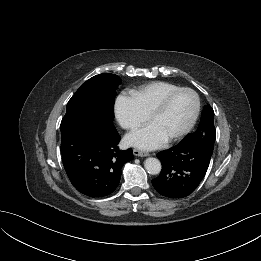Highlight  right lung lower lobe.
<instances>
[{
    "label": "right lung lower lobe",
    "mask_w": 261,
    "mask_h": 261,
    "mask_svg": "<svg viewBox=\"0 0 261 261\" xmlns=\"http://www.w3.org/2000/svg\"><path fill=\"white\" fill-rule=\"evenodd\" d=\"M113 123H93L62 133L61 154L72 185L89 197H105L120 182L121 169L133 159L131 148L121 151Z\"/></svg>",
    "instance_id": "98d812e1"
}]
</instances>
